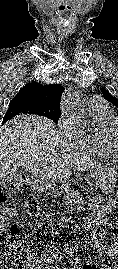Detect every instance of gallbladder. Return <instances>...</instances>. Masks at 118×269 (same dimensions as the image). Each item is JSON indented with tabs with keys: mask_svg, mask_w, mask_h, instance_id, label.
Returning a JSON list of instances; mask_svg holds the SVG:
<instances>
[{
	"mask_svg": "<svg viewBox=\"0 0 118 269\" xmlns=\"http://www.w3.org/2000/svg\"><path fill=\"white\" fill-rule=\"evenodd\" d=\"M20 173H23V170H21ZM14 178H16V177H14ZM1 183H2V182L0 181V184H1Z\"/></svg>",
	"mask_w": 118,
	"mask_h": 269,
	"instance_id": "obj_1",
	"label": "gallbladder"
}]
</instances>
